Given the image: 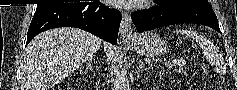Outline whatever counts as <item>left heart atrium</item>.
<instances>
[{"mask_svg":"<svg viewBox=\"0 0 237 90\" xmlns=\"http://www.w3.org/2000/svg\"><path fill=\"white\" fill-rule=\"evenodd\" d=\"M142 3H148V0H112V7H124L125 10H134L135 7H141Z\"/></svg>","mask_w":237,"mask_h":90,"instance_id":"39dd6f15","label":"left heart atrium"}]
</instances>
